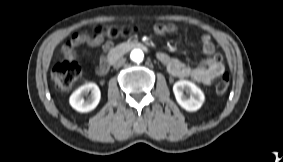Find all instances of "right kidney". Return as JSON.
<instances>
[{"mask_svg": "<svg viewBox=\"0 0 283 162\" xmlns=\"http://www.w3.org/2000/svg\"><path fill=\"white\" fill-rule=\"evenodd\" d=\"M89 92L91 94L88 96ZM84 97H87L85 100ZM101 98L99 87L95 83H87L72 93L69 103L78 112H89L96 108Z\"/></svg>", "mask_w": 283, "mask_h": 162, "instance_id": "1", "label": "right kidney"}]
</instances>
